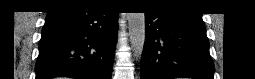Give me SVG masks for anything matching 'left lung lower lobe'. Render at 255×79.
Listing matches in <instances>:
<instances>
[{
    "instance_id": "1",
    "label": "left lung lower lobe",
    "mask_w": 255,
    "mask_h": 79,
    "mask_svg": "<svg viewBox=\"0 0 255 79\" xmlns=\"http://www.w3.org/2000/svg\"><path fill=\"white\" fill-rule=\"evenodd\" d=\"M145 13L141 79H213L214 64L202 15L159 6Z\"/></svg>"
}]
</instances>
